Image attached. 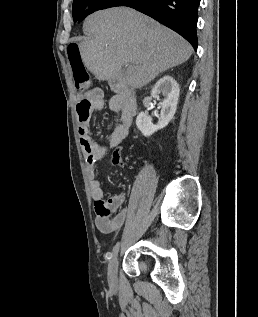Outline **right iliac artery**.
I'll list each match as a JSON object with an SVG mask.
<instances>
[{
    "mask_svg": "<svg viewBox=\"0 0 258 317\" xmlns=\"http://www.w3.org/2000/svg\"><path fill=\"white\" fill-rule=\"evenodd\" d=\"M119 246H120V242L116 243V245L113 247V253L114 254H117Z\"/></svg>",
    "mask_w": 258,
    "mask_h": 317,
    "instance_id": "82829eb1",
    "label": "right iliac artery"
}]
</instances>
